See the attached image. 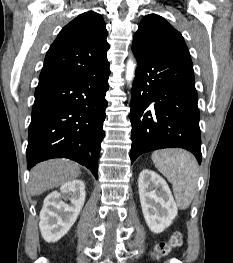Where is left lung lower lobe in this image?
I'll list each match as a JSON object with an SVG mask.
<instances>
[{
  "label": "left lung lower lobe",
  "mask_w": 233,
  "mask_h": 263,
  "mask_svg": "<svg viewBox=\"0 0 233 263\" xmlns=\"http://www.w3.org/2000/svg\"><path fill=\"white\" fill-rule=\"evenodd\" d=\"M137 68L130 102L131 163L142 153L181 147L201 163L200 113L192 61L132 48Z\"/></svg>",
  "instance_id": "0a47b994"
}]
</instances>
